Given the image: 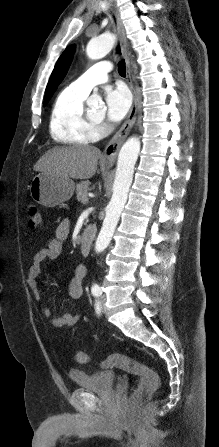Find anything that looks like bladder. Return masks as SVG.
<instances>
[{
    "label": "bladder",
    "mask_w": 219,
    "mask_h": 447,
    "mask_svg": "<svg viewBox=\"0 0 219 447\" xmlns=\"http://www.w3.org/2000/svg\"><path fill=\"white\" fill-rule=\"evenodd\" d=\"M71 380L81 389L92 392L108 391L115 385L116 373L111 370L87 372L70 370Z\"/></svg>",
    "instance_id": "bladder-1"
}]
</instances>
